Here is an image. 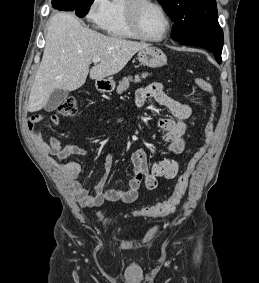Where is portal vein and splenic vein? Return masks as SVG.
I'll use <instances>...</instances> for the list:
<instances>
[{"mask_svg": "<svg viewBox=\"0 0 259 283\" xmlns=\"http://www.w3.org/2000/svg\"><path fill=\"white\" fill-rule=\"evenodd\" d=\"M100 61H101V58H100V57H95V58L92 59V62H93V63H98V62H100Z\"/></svg>", "mask_w": 259, "mask_h": 283, "instance_id": "18ae733b", "label": "portal vein and splenic vein"}]
</instances>
